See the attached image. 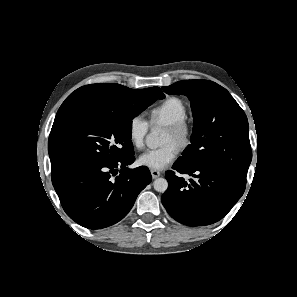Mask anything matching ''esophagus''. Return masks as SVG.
Masks as SVG:
<instances>
[{
    "label": "esophagus",
    "mask_w": 297,
    "mask_h": 297,
    "mask_svg": "<svg viewBox=\"0 0 297 297\" xmlns=\"http://www.w3.org/2000/svg\"><path fill=\"white\" fill-rule=\"evenodd\" d=\"M151 175L153 179H156L161 175V172L158 170L151 169Z\"/></svg>",
    "instance_id": "1"
}]
</instances>
